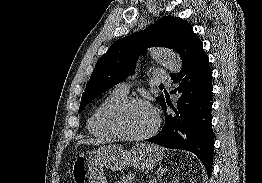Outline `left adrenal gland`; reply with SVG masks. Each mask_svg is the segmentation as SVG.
Masks as SVG:
<instances>
[{
  "label": "left adrenal gland",
  "mask_w": 262,
  "mask_h": 183,
  "mask_svg": "<svg viewBox=\"0 0 262 183\" xmlns=\"http://www.w3.org/2000/svg\"><path fill=\"white\" fill-rule=\"evenodd\" d=\"M166 168H163L162 166H160L157 171L155 172V177L154 179L150 182V183H156L157 180L166 172Z\"/></svg>",
  "instance_id": "a2214340"
}]
</instances>
